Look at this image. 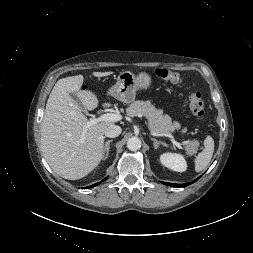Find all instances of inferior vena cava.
I'll list each match as a JSON object with an SVG mask.
<instances>
[{"label":"inferior vena cava","mask_w":253,"mask_h":253,"mask_svg":"<svg viewBox=\"0 0 253 253\" xmlns=\"http://www.w3.org/2000/svg\"><path fill=\"white\" fill-rule=\"evenodd\" d=\"M121 127L117 125H110L105 130V136L109 138L117 137L121 134Z\"/></svg>","instance_id":"602c4592"}]
</instances>
